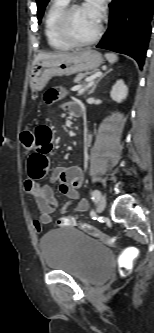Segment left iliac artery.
<instances>
[{"instance_id":"left-iliac-artery-1","label":"left iliac artery","mask_w":154,"mask_h":333,"mask_svg":"<svg viewBox=\"0 0 154 333\" xmlns=\"http://www.w3.org/2000/svg\"><path fill=\"white\" fill-rule=\"evenodd\" d=\"M101 197V193L99 190L95 189L93 190L92 194H91V199L95 202H97Z\"/></svg>"}]
</instances>
